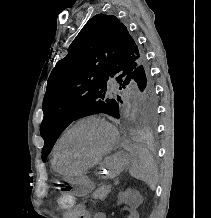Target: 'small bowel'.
<instances>
[{
	"label": "small bowel",
	"instance_id": "1",
	"mask_svg": "<svg viewBox=\"0 0 211 218\" xmlns=\"http://www.w3.org/2000/svg\"><path fill=\"white\" fill-rule=\"evenodd\" d=\"M125 218H138V212L136 209L126 207ZM70 217L72 218H91L90 213L86 206L80 204L77 205L71 212ZM94 218H107V215L103 212L96 213Z\"/></svg>",
	"mask_w": 211,
	"mask_h": 218
}]
</instances>
